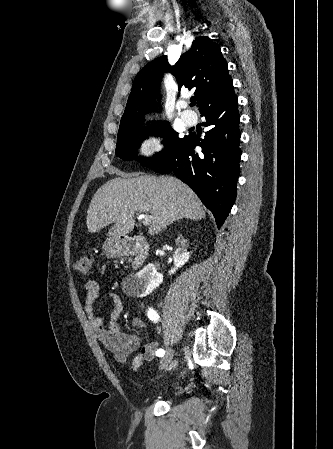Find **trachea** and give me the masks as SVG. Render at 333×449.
Here are the masks:
<instances>
[{
	"mask_svg": "<svg viewBox=\"0 0 333 449\" xmlns=\"http://www.w3.org/2000/svg\"><path fill=\"white\" fill-rule=\"evenodd\" d=\"M195 105H196V99H195V98H192V99H191L190 106H195Z\"/></svg>",
	"mask_w": 333,
	"mask_h": 449,
	"instance_id": "trachea-1",
	"label": "trachea"
}]
</instances>
